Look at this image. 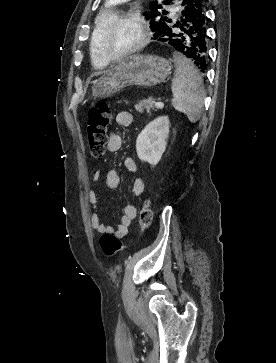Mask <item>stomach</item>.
<instances>
[{
    "label": "stomach",
    "instance_id": "1",
    "mask_svg": "<svg viewBox=\"0 0 276 363\" xmlns=\"http://www.w3.org/2000/svg\"><path fill=\"white\" fill-rule=\"evenodd\" d=\"M171 68L170 62L163 57L154 55L131 57L94 81L92 95L94 98H108L127 86H156L165 81Z\"/></svg>",
    "mask_w": 276,
    "mask_h": 363
}]
</instances>
